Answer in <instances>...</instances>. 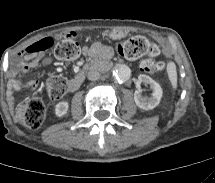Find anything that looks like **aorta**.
Segmentation results:
<instances>
[{"label":"aorta","instance_id":"obj_1","mask_svg":"<svg viewBox=\"0 0 215 183\" xmlns=\"http://www.w3.org/2000/svg\"><path fill=\"white\" fill-rule=\"evenodd\" d=\"M113 77L118 81H127L131 76L130 68L125 64H117L112 70Z\"/></svg>","mask_w":215,"mask_h":183}]
</instances>
